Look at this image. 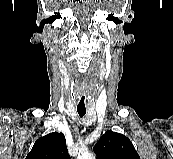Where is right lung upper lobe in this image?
Listing matches in <instances>:
<instances>
[{
    "label": "right lung upper lobe",
    "mask_w": 173,
    "mask_h": 159,
    "mask_svg": "<svg viewBox=\"0 0 173 159\" xmlns=\"http://www.w3.org/2000/svg\"><path fill=\"white\" fill-rule=\"evenodd\" d=\"M26 159H70L64 135L53 132L39 138Z\"/></svg>",
    "instance_id": "1"
}]
</instances>
